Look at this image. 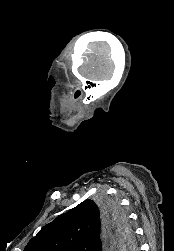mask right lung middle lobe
Here are the masks:
<instances>
[{
    "label": "right lung middle lobe",
    "instance_id": "obj_1",
    "mask_svg": "<svg viewBox=\"0 0 174 251\" xmlns=\"http://www.w3.org/2000/svg\"><path fill=\"white\" fill-rule=\"evenodd\" d=\"M96 203L105 219L114 227L115 233L122 239L121 250H133L135 248L134 233L120 203L105 195L99 197Z\"/></svg>",
    "mask_w": 174,
    "mask_h": 251
}]
</instances>
